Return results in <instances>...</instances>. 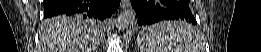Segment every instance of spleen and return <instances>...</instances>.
<instances>
[{"mask_svg":"<svg viewBox=\"0 0 261 52\" xmlns=\"http://www.w3.org/2000/svg\"><path fill=\"white\" fill-rule=\"evenodd\" d=\"M137 44L140 52H200L201 47L193 27L179 21H164L144 29Z\"/></svg>","mask_w":261,"mask_h":52,"instance_id":"3e777b00","label":"spleen"}]
</instances>
